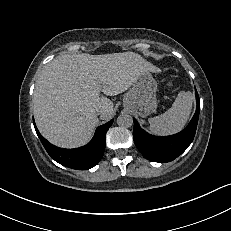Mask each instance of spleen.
I'll use <instances>...</instances> for the list:
<instances>
[{"label":"spleen","instance_id":"spleen-1","mask_svg":"<svg viewBox=\"0 0 231 231\" xmlns=\"http://www.w3.org/2000/svg\"><path fill=\"white\" fill-rule=\"evenodd\" d=\"M192 103V93L181 91L171 108L165 113L148 120L149 130L155 135L162 136L181 131L189 119Z\"/></svg>","mask_w":231,"mask_h":231}]
</instances>
